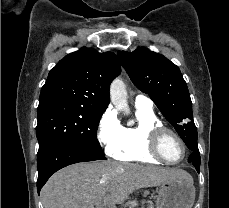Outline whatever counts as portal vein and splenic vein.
Wrapping results in <instances>:
<instances>
[{
  "mask_svg": "<svg viewBox=\"0 0 229 208\" xmlns=\"http://www.w3.org/2000/svg\"><path fill=\"white\" fill-rule=\"evenodd\" d=\"M109 208H116V206H114V204H112V202H110V204H108Z\"/></svg>",
  "mask_w": 229,
  "mask_h": 208,
  "instance_id": "18ae733b",
  "label": "portal vein and splenic vein"
}]
</instances>
